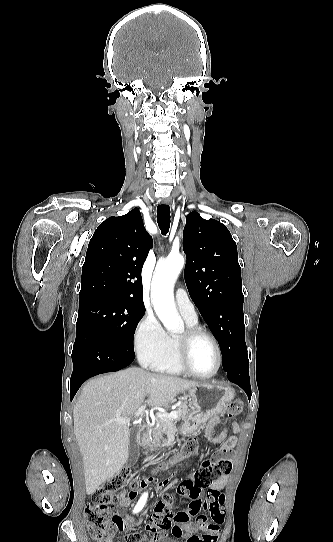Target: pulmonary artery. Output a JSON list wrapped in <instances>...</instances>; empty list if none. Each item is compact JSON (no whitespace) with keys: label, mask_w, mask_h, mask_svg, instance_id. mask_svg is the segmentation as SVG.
<instances>
[{"label":"pulmonary artery","mask_w":333,"mask_h":542,"mask_svg":"<svg viewBox=\"0 0 333 542\" xmlns=\"http://www.w3.org/2000/svg\"><path fill=\"white\" fill-rule=\"evenodd\" d=\"M184 292L187 290L185 287L182 289ZM176 307L179 313L186 319L196 322L198 315L195 310L194 304L189 298L188 294L182 293L181 290H176L175 293Z\"/></svg>","instance_id":"e3ab8cb5"}]
</instances>
